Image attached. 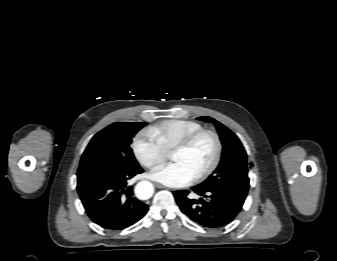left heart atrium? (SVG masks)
I'll return each mask as SVG.
<instances>
[{
	"mask_svg": "<svg viewBox=\"0 0 337 261\" xmlns=\"http://www.w3.org/2000/svg\"><path fill=\"white\" fill-rule=\"evenodd\" d=\"M150 176L153 180L170 187H184L192 183L194 176L180 162H171L155 167Z\"/></svg>",
	"mask_w": 337,
	"mask_h": 261,
	"instance_id": "1",
	"label": "left heart atrium"
}]
</instances>
